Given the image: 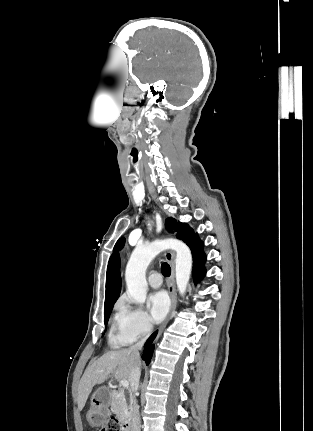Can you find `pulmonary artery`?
<instances>
[{
	"instance_id": "pulmonary-artery-1",
	"label": "pulmonary artery",
	"mask_w": 313,
	"mask_h": 431,
	"mask_svg": "<svg viewBox=\"0 0 313 431\" xmlns=\"http://www.w3.org/2000/svg\"><path fill=\"white\" fill-rule=\"evenodd\" d=\"M148 283L153 288H159L162 284L161 275L158 272H151L148 276Z\"/></svg>"
}]
</instances>
